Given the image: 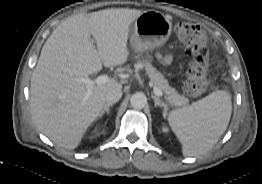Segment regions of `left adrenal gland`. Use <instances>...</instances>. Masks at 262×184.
Instances as JSON below:
<instances>
[{
  "instance_id": "obj_1",
  "label": "left adrenal gland",
  "mask_w": 262,
  "mask_h": 184,
  "mask_svg": "<svg viewBox=\"0 0 262 184\" xmlns=\"http://www.w3.org/2000/svg\"><path fill=\"white\" fill-rule=\"evenodd\" d=\"M151 97H152V98L154 99V101H155V107H160V108L163 107L164 110L167 109V104L164 103L162 100H160L159 97H157V96H155V95H152Z\"/></svg>"
}]
</instances>
